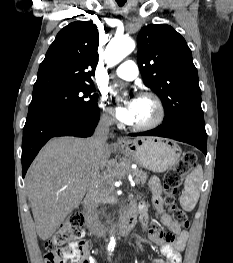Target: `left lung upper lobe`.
Here are the masks:
<instances>
[{"mask_svg": "<svg viewBox=\"0 0 233 263\" xmlns=\"http://www.w3.org/2000/svg\"><path fill=\"white\" fill-rule=\"evenodd\" d=\"M138 45L144 83L163 102V123L204 122L198 73L185 39L169 25L152 24L141 29Z\"/></svg>", "mask_w": 233, "mask_h": 263, "instance_id": "obj_1", "label": "left lung upper lobe"}]
</instances>
